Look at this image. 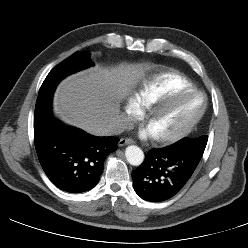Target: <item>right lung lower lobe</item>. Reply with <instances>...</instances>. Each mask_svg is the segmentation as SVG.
<instances>
[{"label":"right lung lower lobe","mask_w":248,"mask_h":248,"mask_svg":"<svg viewBox=\"0 0 248 248\" xmlns=\"http://www.w3.org/2000/svg\"><path fill=\"white\" fill-rule=\"evenodd\" d=\"M53 92L39 93L34 113V141L39 162L59 189L81 193L99 181L104 160L119 139L98 137L65 126L52 116Z\"/></svg>","instance_id":"obj_1"}]
</instances>
